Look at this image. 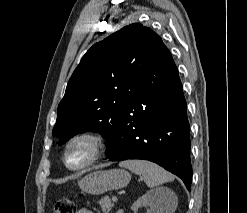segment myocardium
Segmentation results:
<instances>
[{
  "mask_svg": "<svg viewBox=\"0 0 247 213\" xmlns=\"http://www.w3.org/2000/svg\"><path fill=\"white\" fill-rule=\"evenodd\" d=\"M81 141L87 142L91 146L90 156L84 163L78 166H71L67 159L68 151L75 143ZM105 149L106 141L101 134L93 131L78 132L66 141L62 154V162L70 171H81L94 165L102 157Z\"/></svg>",
  "mask_w": 247,
  "mask_h": 213,
  "instance_id": "obj_1",
  "label": "myocardium"
}]
</instances>
